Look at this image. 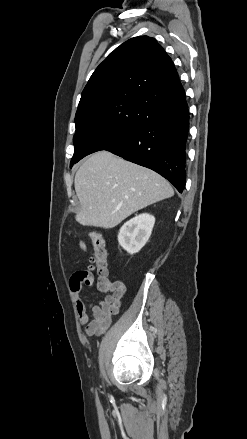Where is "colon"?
Masks as SVG:
<instances>
[{"mask_svg": "<svg viewBox=\"0 0 247 439\" xmlns=\"http://www.w3.org/2000/svg\"><path fill=\"white\" fill-rule=\"evenodd\" d=\"M89 239L91 247L90 271L98 276L99 289L102 290L105 288V280L108 275V252L104 238L99 232H92ZM80 246L83 250H86L84 242H81Z\"/></svg>", "mask_w": 247, "mask_h": 439, "instance_id": "colon-1", "label": "colon"}]
</instances>
